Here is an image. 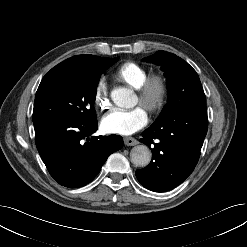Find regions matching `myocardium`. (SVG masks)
Listing matches in <instances>:
<instances>
[{
	"label": "myocardium",
	"mask_w": 247,
	"mask_h": 247,
	"mask_svg": "<svg viewBox=\"0 0 247 247\" xmlns=\"http://www.w3.org/2000/svg\"><path fill=\"white\" fill-rule=\"evenodd\" d=\"M139 103L150 113H158L164 107L169 85L167 78L160 73H154L143 81L136 89Z\"/></svg>",
	"instance_id": "1"
}]
</instances>
